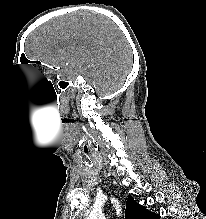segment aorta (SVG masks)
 Here are the masks:
<instances>
[{
  "mask_svg": "<svg viewBox=\"0 0 206 219\" xmlns=\"http://www.w3.org/2000/svg\"><path fill=\"white\" fill-rule=\"evenodd\" d=\"M89 219H104L102 215L100 214H93Z\"/></svg>",
  "mask_w": 206,
  "mask_h": 219,
  "instance_id": "762f6f07",
  "label": "aorta"
}]
</instances>
